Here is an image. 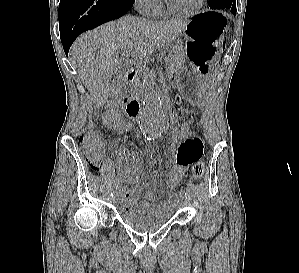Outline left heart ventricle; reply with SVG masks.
I'll return each instance as SVG.
<instances>
[{
    "label": "left heart ventricle",
    "instance_id": "1",
    "mask_svg": "<svg viewBox=\"0 0 299 273\" xmlns=\"http://www.w3.org/2000/svg\"><path fill=\"white\" fill-rule=\"evenodd\" d=\"M199 0H171L172 4L180 9H191L193 8Z\"/></svg>",
    "mask_w": 299,
    "mask_h": 273
}]
</instances>
